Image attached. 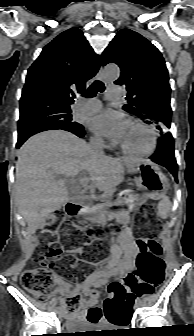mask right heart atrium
Returning <instances> with one entry per match:
<instances>
[{"instance_id": "obj_1", "label": "right heart atrium", "mask_w": 194, "mask_h": 336, "mask_svg": "<svg viewBox=\"0 0 194 336\" xmlns=\"http://www.w3.org/2000/svg\"><path fill=\"white\" fill-rule=\"evenodd\" d=\"M92 142L96 145L104 144V141L100 137H97V136L92 137Z\"/></svg>"}]
</instances>
